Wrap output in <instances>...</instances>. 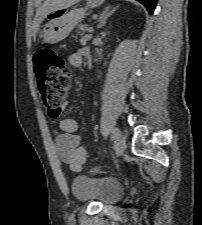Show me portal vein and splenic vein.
<instances>
[{"mask_svg":"<svg viewBox=\"0 0 202 225\" xmlns=\"http://www.w3.org/2000/svg\"><path fill=\"white\" fill-rule=\"evenodd\" d=\"M92 38L91 34H87L82 37L81 42H86L87 40H90Z\"/></svg>","mask_w":202,"mask_h":225,"instance_id":"18ae733b","label":"portal vein and splenic vein"}]
</instances>
